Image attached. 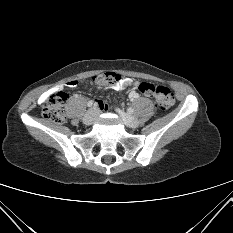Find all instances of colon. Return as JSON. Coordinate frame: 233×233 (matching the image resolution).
<instances>
[{"label":"colon","mask_w":233,"mask_h":233,"mask_svg":"<svg viewBox=\"0 0 233 233\" xmlns=\"http://www.w3.org/2000/svg\"><path fill=\"white\" fill-rule=\"evenodd\" d=\"M109 73L114 72L97 74L89 79L92 80V84L101 86H114L119 83L112 81L109 78ZM116 76L120 77L121 80L120 75L116 74ZM137 89L141 93L153 97L155 99V105L158 110H166L174 104V95L168 87L154 86L153 84L147 82H141L138 84ZM67 98L68 95L62 90H58L50 94L43 104L42 116L53 123H62L65 120L63 105Z\"/></svg>","instance_id":"obj_1"}]
</instances>
